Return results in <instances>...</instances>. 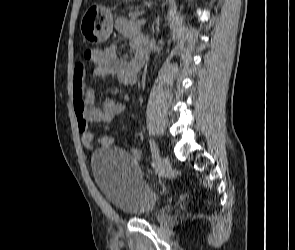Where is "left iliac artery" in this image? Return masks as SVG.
Here are the masks:
<instances>
[{
	"instance_id": "left-iliac-artery-1",
	"label": "left iliac artery",
	"mask_w": 295,
	"mask_h": 250,
	"mask_svg": "<svg viewBox=\"0 0 295 250\" xmlns=\"http://www.w3.org/2000/svg\"><path fill=\"white\" fill-rule=\"evenodd\" d=\"M149 144H150V149H151V153H152V158H153V163L152 165L155 166L157 161H156V156H157V153H158V148H157V145L154 141V139H150L149 140Z\"/></svg>"
}]
</instances>
